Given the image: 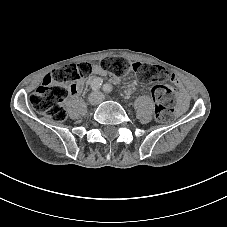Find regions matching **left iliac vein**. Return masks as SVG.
Here are the masks:
<instances>
[{
  "instance_id": "obj_1",
  "label": "left iliac vein",
  "mask_w": 227,
  "mask_h": 227,
  "mask_svg": "<svg viewBox=\"0 0 227 227\" xmlns=\"http://www.w3.org/2000/svg\"><path fill=\"white\" fill-rule=\"evenodd\" d=\"M97 95L100 98V101H104L106 99L105 96L100 92H98Z\"/></svg>"
}]
</instances>
